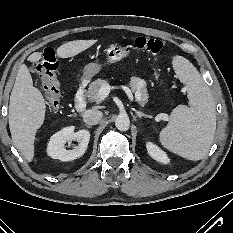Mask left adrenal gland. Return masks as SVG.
<instances>
[{
    "label": "left adrenal gland",
    "mask_w": 233,
    "mask_h": 233,
    "mask_svg": "<svg viewBox=\"0 0 233 233\" xmlns=\"http://www.w3.org/2000/svg\"><path fill=\"white\" fill-rule=\"evenodd\" d=\"M136 115H137L139 118H142V117H144V118H151V116H149V115H147V114H145V113H143V112H140V111H137V112H136Z\"/></svg>",
    "instance_id": "1"
}]
</instances>
